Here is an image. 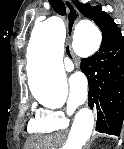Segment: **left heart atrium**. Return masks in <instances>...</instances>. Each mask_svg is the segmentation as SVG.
Returning a JSON list of instances; mask_svg holds the SVG:
<instances>
[{"mask_svg": "<svg viewBox=\"0 0 124 149\" xmlns=\"http://www.w3.org/2000/svg\"><path fill=\"white\" fill-rule=\"evenodd\" d=\"M88 95L86 78L81 74H74L69 79V105L77 108L85 103Z\"/></svg>", "mask_w": 124, "mask_h": 149, "instance_id": "left-heart-atrium-1", "label": "left heart atrium"}]
</instances>
